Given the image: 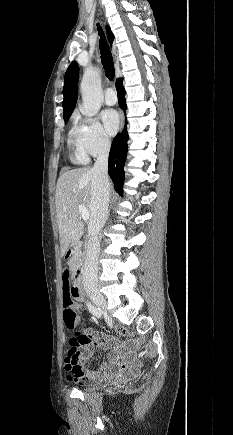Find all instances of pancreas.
I'll list each match as a JSON object with an SVG mask.
<instances>
[{
	"mask_svg": "<svg viewBox=\"0 0 233 435\" xmlns=\"http://www.w3.org/2000/svg\"><path fill=\"white\" fill-rule=\"evenodd\" d=\"M83 261V255L80 251H75L72 254L71 259L69 260L68 264L71 268L76 269L82 264Z\"/></svg>",
	"mask_w": 233,
	"mask_h": 435,
	"instance_id": "obj_1",
	"label": "pancreas"
}]
</instances>
